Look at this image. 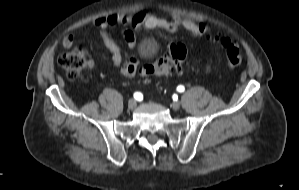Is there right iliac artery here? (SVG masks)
Returning a JSON list of instances; mask_svg holds the SVG:
<instances>
[{"label": "right iliac artery", "instance_id": "obj_1", "mask_svg": "<svg viewBox=\"0 0 299 190\" xmlns=\"http://www.w3.org/2000/svg\"><path fill=\"white\" fill-rule=\"evenodd\" d=\"M134 98L136 99V100H142V98H143V95L140 93V92H136V93H134Z\"/></svg>", "mask_w": 299, "mask_h": 190}]
</instances>
